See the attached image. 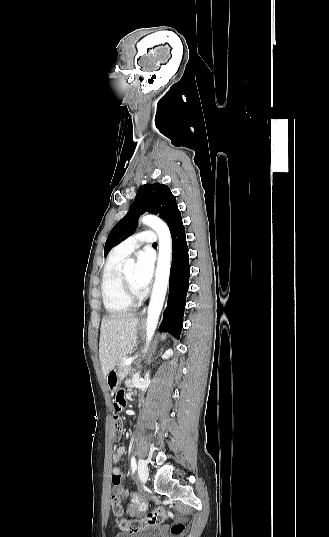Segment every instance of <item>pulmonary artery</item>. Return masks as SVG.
I'll return each mask as SVG.
<instances>
[{
  "instance_id": "1",
  "label": "pulmonary artery",
  "mask_w": 329,
  "mask_h": 537,
  "mask_svg": "<svg viewBox=\"0 0 329 537\" xmlns=\"http://www.w3.org/2000/svg\"><path fill=\"white\" fill-rule=\"evenodd\" d=\"M157 242V234L154 231H142L139 232L123 242L117 245L113 249V254L126 257L131 254L135 249L139 248L141 245H153Z\"/></svg>"
}]
</instances>
